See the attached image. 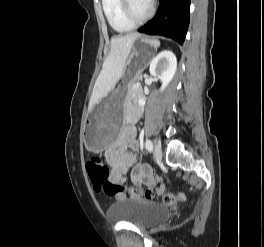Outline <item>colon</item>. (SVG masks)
I'll return each instance as SVG.
<instances>
[{
    "instance_id": "5ec220e1",
    "label": "colon",
    "mask_w": 264,
    "mask_h": 247,
    "mask_svg": "<svg viewBox=\"0 0 264 247\" xmlns=\"http://www.w3.org/2000/svg\"><path fill=\"white\" fill-rule=\"evenodd\" d=\"M86 167L93 186L109 196L119 197L126 193L132 197L158 198L152 191L139 187H125L110 181L109 167L98 157H89L86 161ZM178 198L179 196L172 192H166L161 196L162 201L167 205L175 204Z\"/></svg>"
}]
</instances>
